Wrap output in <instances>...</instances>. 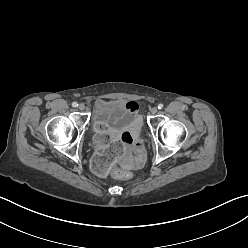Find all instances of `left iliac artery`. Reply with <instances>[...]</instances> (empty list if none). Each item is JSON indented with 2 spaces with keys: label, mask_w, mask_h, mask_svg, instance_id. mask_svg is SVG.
I'll return each mask as SVG.
<instances>
[{
  "label": "left iliac artery",
  "mask_w": 248,
  "mask_h": 248,
  "mask_svg": "<svg viewBox=\"0 0 248 248\" xmlns=\"http://www.w3.org/2000/svg\"><path fill=\"white\" fill-rule=\"evenodd\" d=\"M163 108V104H158V109H162Z\"/></svg>",
  "instance_id": "44dca946"
}]
</instances>
